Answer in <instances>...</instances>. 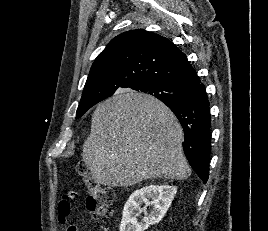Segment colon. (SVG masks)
Wrapping results in <instances>:
<instances>
[{"instance_id": "1", "label": "colon", "mask_w": 268, "mask_h": 231, "mask_svg": "<svg viewBox=\"0 0 268 231\" xmlns=\"http://www.w3.org/2000/svg\"><path fill=\"white\" fill-rule=\"evenodd\" d=\"M77 172L86 181L88 192L86 205L88 211L95 218L108 216L111 212V205L114 199L113 191L99 181L91 178L87 166L83 162L77 164Z\"/></svg>"}]
</instances>
